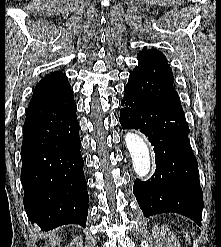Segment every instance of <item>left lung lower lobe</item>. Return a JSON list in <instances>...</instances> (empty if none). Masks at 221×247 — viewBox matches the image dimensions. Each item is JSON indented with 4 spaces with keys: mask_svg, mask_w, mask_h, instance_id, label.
I'll use <instances>...</instances> for the list:
<instances>
[{
    "mask_svg": "<svg viewBox=\"0 0 221 247\" xmlns=\"http://www.w3.org/2000/svg\"><path fill=\"white\" fill-rule=\"evenodd\" d=\"M124 92L122 128L140 130L155 152L154 175L146 182L136 179L133 186L143 214L179 213L201 226L203 193L183 109L136 92L130 81Z\"/></svg>",
    "mask_w": 221,
    "mask_h": 247,
    "instance_id": "obj_1",
    "label": "left lung lower lobe"
}]
</instances>
